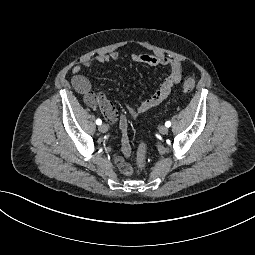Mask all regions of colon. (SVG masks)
I'll return each mask as SVG.
<instances>
[{"label": "colon", "mask_w": 255, "mask_h": 255, "mask_svg": "<svg viewBox=\"0 0 255 255\" xmlns=\"http://www.w3.org/2000/svg\"><path fill=\"white\" fill-rule=\"evenodd\" d=\"M195 87V79L187 78L182 82V89L184 92H191ZM146 152L147 145L145 142H142L139 146L137 153V163L140 168H143L146 163Z\"/></svg>", "instance_id": "1"}]
</instances>
